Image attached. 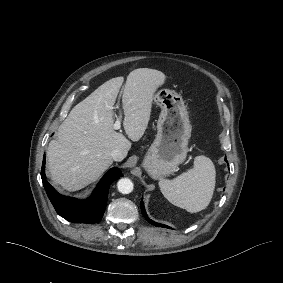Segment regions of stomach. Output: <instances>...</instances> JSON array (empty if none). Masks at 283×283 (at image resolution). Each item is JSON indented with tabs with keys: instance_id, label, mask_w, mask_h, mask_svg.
Returning a JSON list of instances; mask_svg holds the SVG:
<instances>
[{
	"instance_id": "stomach-1",
	"label": "stomach",
	"mask_w": 283,
	"mask_h": 283,
	"mask_svg": "<svg viewBox=\"0 0 283 283\" xmlns=\"http://www.w3.org/2000/svg\"><path fill=\"white\" fill-rule=\"evenodd\" d=\"M153 100L160 106L161 113L157 135L146 153L143 167L157 179L173 173L185 161L191 125L183 98L174 90L159 89Z\"/></svg>"
}]
</instances>
